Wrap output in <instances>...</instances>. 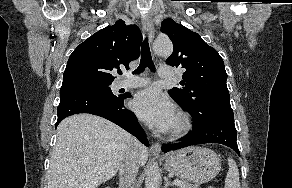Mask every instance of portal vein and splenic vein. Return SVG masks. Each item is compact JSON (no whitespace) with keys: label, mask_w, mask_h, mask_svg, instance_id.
I'll return each mask as SVG.
<instances>
[{"label":"portal vein and splenic vein","mask_w":292,"mask_h":188,"mask_svg":"<svg viewBox=\"0 0 292 188\" xmlns=\"http://www.w3.org/2000/svg\"><path fill=\"white\" fill-rule=\"evenodd\" d=\"M173 184L176 185V186H183L184 185L183 182L180 181V180H174ZM195 187L197 188V185Z\"/></svg>","instance_id":"portal-vein-and-splenic-vein-1"}]
</instances>
